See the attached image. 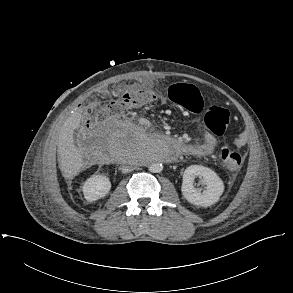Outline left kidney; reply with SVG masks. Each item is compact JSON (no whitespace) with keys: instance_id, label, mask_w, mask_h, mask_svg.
I'll use <instances>...</instances> for the list:
<instances>
[{"instance_id":"5707ae66","label":"left kidney","mask_w":293,"mask_h":293,"mask_svg":"<svg viewBox=\"0 0 293 293\" xmlns=\"http://www.w3.org/2000/svg\"><path fill=\"white\" fill-rule=\"evenodd\" d=\"M198 176L206 184L203 192L193 185L195 178ZM181 191L189 203L208 207L218 202L224 191V184L221 178L210 168L202 165H191L184 171Z\"/></svg>"}]
</instances>
